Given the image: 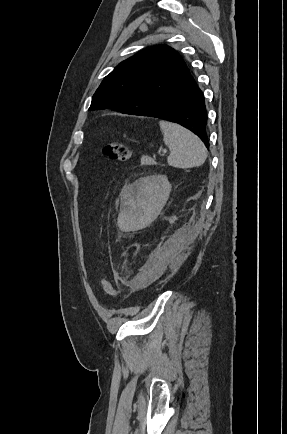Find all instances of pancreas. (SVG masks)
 <instances>
[{
	"instance_id": "1",
	"label": "pancreas",
	"mask_w": 287,
	"mask_h": 434,
	"mask_svg": "<svg viewBox=\"0 0 287 434\" xmlns=\"http://www.w3.org/2000/svg\"><path fill=\"white\" fill-rule=\"evenodd\" d=\"M141 164L142 165H155L156 162L151 157L142 156V158H141Z\"/></svg>"
}]
</instances>
